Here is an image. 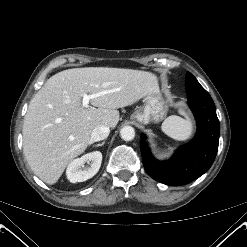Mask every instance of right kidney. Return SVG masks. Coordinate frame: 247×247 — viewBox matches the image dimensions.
<instances>
[{
  "instance_id": "ca27d5eb",
  "label": "right kidney",
  "mask_w": 247,
  "mask_h": 247,
  "mask_svg": "<svg viewBox=\"0 0 247 247\" xmlns=\"http://www.w3.org/2000/svg\"><path fill=\"white\" fill-rule=\"evenodd\" d=\"M86 162H91L89 167H84ZM102 153L94 151L74 159L67 167L66 175L70 182H83L92 178L100 169Z\"/></svg>"
}]
</instances>
